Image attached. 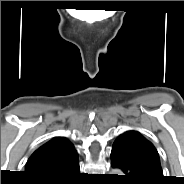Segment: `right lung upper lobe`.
I'll return each instance as SVG.
<instances>
[{"label":"right lung upper lobe","instance_id":"1","mask_svg":"<svg viewBox=\"0 0 184 184\" xmlns=\"http://www.w3.org/2000/svg\"><path fill=\"white\" fill-rule=\"evenodd\" d=\"M75 159L77 152L73 144L65 138L56 137L31 155L26 164V173L33 179L51 177Z\"/></svg>","mask_w":184,"mask_h":184}]
</instances>
